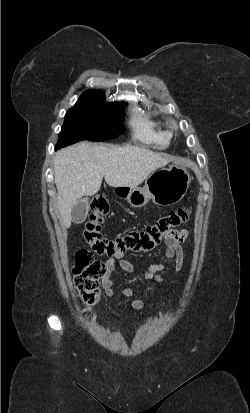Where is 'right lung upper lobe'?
<instances>
[{
  "instance_id": "obj_1",
  "label": "right lung upper lobe",
  "mask_w": 250,
  "mask_h": 413,
  "mask_svg": "<svg viewBox=\"0 0 250 413\" xmlns=\"http://www.w3.org/2000/svg\"><path fill=\"white\" fill-rule=\"evenodd\" d=\"M84 93H92V94H101V95H103V93L101 91H97V90H94V89L85 91Z\"/></svg>"
}]
</instances>
